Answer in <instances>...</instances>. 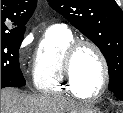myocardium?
<instances>
[{"instance_id":"obj_1","label":"myocardium","mask_w":123,"mask_h":113,"mask_svg":"<svg viewBox=\"0 0 123 113\" xmlns=\"http://www.w3.org/2000/svg\"><path fill=\"white\" fill-rule=\"evenodd\" d=\"M89 47L98 55L103 67V81L100 88L93 94L81 93L75 83L73 74V64L78 53L84 48ZM63 73L72 90L80 93L82 98L95 99L100 97L107 89L110 80V69L107 58L102 49L90 40H75L66 50L63 60Z\"/></svg>"}]
</instances>
